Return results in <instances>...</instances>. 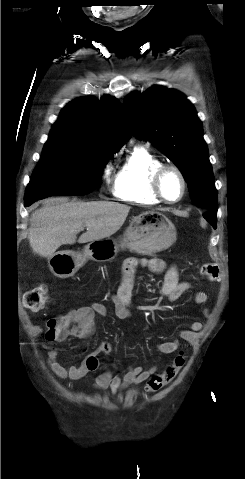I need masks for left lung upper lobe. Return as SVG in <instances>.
Listing matches in <instances>:
<instances>
[{
	"mask_svg": "<svg viewBox=\"0 0 245 479\" xmlns=\"http://www.w3.org/2000/svg\"><path fill=\"white\" fill-rule=\"evenodd\" d=\"M123 110L133 134L147 139L180 169L192 202L202 209L217 207V190L202 123L186 97L176 90L153 86L132 93Z\"/></svg>",
	"mask_w": 245,
	"mask_h": 479,
	"instance_id": "5c2ea615",
	"label": "left lung upper lobe"
}]
</instances>
